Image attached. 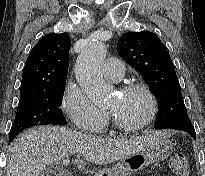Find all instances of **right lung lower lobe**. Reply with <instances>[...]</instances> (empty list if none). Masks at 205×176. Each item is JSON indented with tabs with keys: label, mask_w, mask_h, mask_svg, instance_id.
Listing matches in <instances>:
<instances>
[{
	"label": "right lung lower lobe",
	"mask_w": 205,
	"mask_h": 176,
	"mask_svg": "<svg viewBox=\"0 0 205 176\" xmlns=\"http://www.w3.org/2000/svg\"><path fill=\"white\" fill-rule=\"evenodd\" d=\"M14 139V138H13ZM13 139H9V141L11 142Z\"/></svg>",
	"instance_id": "obj_1"
}]
</instances>
